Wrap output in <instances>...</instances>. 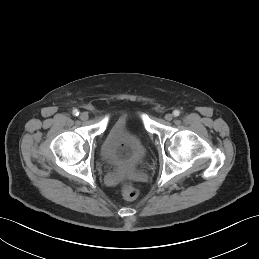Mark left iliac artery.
<instances>
[{"instance_id": "obj_1", "label": "left iliac artery", "mask_w": 259, "mask_h": 259, "mask_svg": "<svg viewBox=\"0 0 259 259\" xmlns=\"http://www.w3.org/2000/svg\"><path fill=\"white\" fill-rule=\"evenodd\" d=\"M173 115H174L175 117L179 116V115H180V111H179V110L173 111Z\"/></svg>"}]
</instances>
